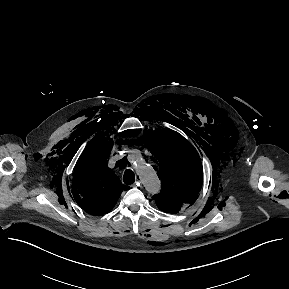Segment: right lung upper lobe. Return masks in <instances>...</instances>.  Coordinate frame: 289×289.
I'll list each match as a JSON object with an SVG mask.
<instances>
[{
	"instance_id": "right-lung-upper-lobe-1",
	"label": "right lung upper lobe",
	"mask_w": 289,
	"mask_h": 289,
	"mask_svg": "<svg viewBox=\"0 0 289 289\" xmlns=\"http://www.w3.org/2000/svg\"><path fill=\"white\" fill-rule=\"evenodd\" d=\"M102 138H96L87 144L75 166L72 181L75 201L92 215L111 211L121 191L126 188L107 166L112 145L105 137Z\"/></svg>"
}]
</instances>
